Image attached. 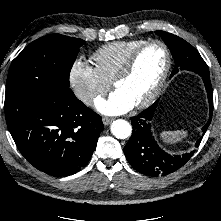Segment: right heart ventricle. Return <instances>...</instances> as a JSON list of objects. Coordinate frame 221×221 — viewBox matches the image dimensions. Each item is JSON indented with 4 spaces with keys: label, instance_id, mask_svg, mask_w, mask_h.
<instances>
[{
    "label": "right heart ventricle",
    "instance_id": "obj_1",
    "mask_svg": "<svg viewBox=\"0 0 221 221\" xmlns=\"http://www.w3.org/2000/svg\"><path fill=\"white\" fill-rule=\"evenodd\" d=\"M146 40H122L107 43L93 54V60L100 74L107 81L113 80L128 56Z\"/></svg>",
    "mask_w": 221,
    "mask_h": 221
}]
</instances>
